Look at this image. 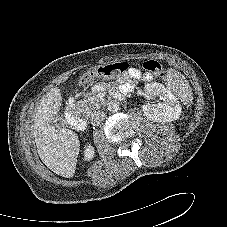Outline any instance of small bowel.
<instances>
[{
  "instance_id": "c3829d8e",
  "label": "small bowel",
  "mask_w": 227,
  "mask_h": 227,
  "mask_svg": "<svg viewBox=\"0 0 227 227\" xmlns=\"http://www.w3.org/2000/svg\"><path fill=\"white\" fill-rule=\"evenodd\" d=\"M129 74H130L131 77L136 78V79L141 77L140 72L136 69H132ZM103 87H104V85L102 83H98V84L95 85L96 90H102Z\"/></svg>"
}]
</instances>
